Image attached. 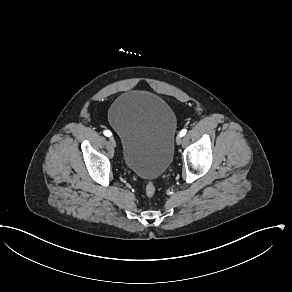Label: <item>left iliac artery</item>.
Listing matches in <instances>:
<instances>
[{
  "label": "left iliac artery",
  "instance_id": "1",
  "mask_svg": "<svg viewBox=\"0 0 292 292\" xmlns=\"http://www.w3.org/2000/svg\"><path fill=\"white\" fill-rule=\"evenodd\" d=\"M187 133V129H182L179 133V136L183 137Z\"/></svg>",
  "mask_w": 292,
  "mask_h": 292
}]
</instances>
